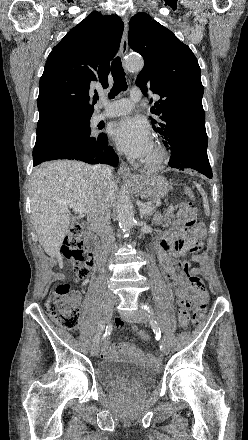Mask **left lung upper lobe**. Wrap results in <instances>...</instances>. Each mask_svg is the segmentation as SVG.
Segmentation results:
<instances>
[{"instance_id":"left-lung-upper-lobe-1","label":"left lung upper lobe","mask_w":248,"mask_h":440,"mask_svg":"<svg viewBox=\"0 0 248 440\" xmlns=\"http://www.w3.org/2000/svg\"><path fill=\"white\" fill-rule=\"evenodd\" d=\"M129 26L128 44L144 58L136 84L145 95L151 90L160 97L151 108L160 118L152 119L153 129L169 149L179 145L207 149L204 88L193 52L146 13L133 16Z\"/></svg>"}]
</instances>
